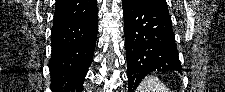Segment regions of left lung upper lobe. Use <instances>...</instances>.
<instances>
[{
  "instance_id": "obj_1",
  "label": "left lung upper lobe",
  "mask_w": 225,
  "mask_h": 92,
  "mask_svg": "<svg viewBox=\"0 0 225 92\" xmlns=\"http://www.w3.org/2000/svg\"><path fill=\"white\" fill-rule=\"evenodd\" d=\"M146 5L168 11L166 0H138Z\"/></svg>"
}]
</instances>
